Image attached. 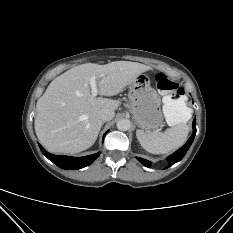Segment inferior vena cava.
<instances>
[{
  "mask_svg": "<svg viewBox=\"0 0 233 233\" xmlns=\"http://www.w3.org/2000/svg\"><path fill=\"white\" fill-rule=\"evenodd\" d=\"M115 113L113 110L110 109H101L98 112V117L102 120V121H109L112 120L114 117Z\"/></svg>",
  "mask_w": 233,
  "mask_h": 233,
  "instance_id": "602c4592",
  "label": "inferior vena cava"
}]
</instances>
